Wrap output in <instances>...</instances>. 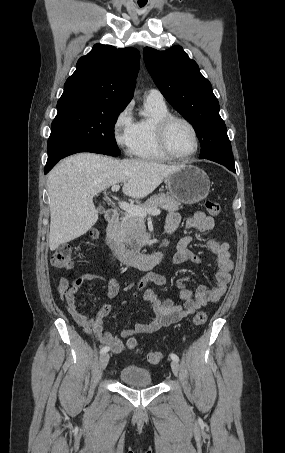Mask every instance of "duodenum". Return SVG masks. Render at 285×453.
I'll return each instance as SVG.
<instances>
[{"mask_svg": "<svg viewBox=\"0 0 285 453\" xmlns=\"http://www.w3.org/2000/svg\"><path fill=\"white\" fill-rule=\"evenodd\" d=\"M105 220L106 230L104 233V241L119 261L135 265L141 269H151L161 263L164 258V252L162 250L151 254H143L127 249L121 243L117 234L119 213L116 209H108L105 213Z\"/></svg>", "mask_w": 285, "mask_h": 453, "instance_id": "1", "label": "duodenum"}]
</instances>
